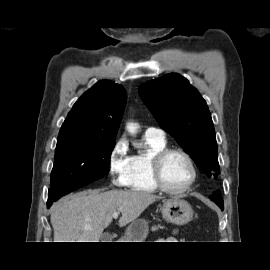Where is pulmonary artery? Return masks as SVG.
I'll return each instance as SVG.
<instances>
[{
    "instance_id": "pulmonary-artery-1",
    "label": "pulmonary artery",
    "mask_w": 270,
    "mask_h": 270,
    "mask_svg": "<svg viewBox=\"0 0 270 270\" xmlns=\"http://www.w3.org/2000/svg\"><path fill=\"white\" fill-rule=\"evenodd\" d=\"M145 136L154 137V138H158V139L163 140V139H165V132L162 129H159V128L149 127L145 131Z\"/></svg>"
}]
</instances>
